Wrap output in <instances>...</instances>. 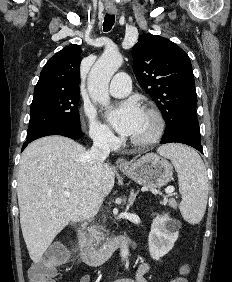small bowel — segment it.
Returning a JSON list of instances; mask_svg holds the SVG:
<instances>
[{"instance_id": "small-bowel-1", "label": "small bowel", "mask_w": 232, "mask_h": 282, "mask_svg": "<svg viewBox=\"0 0 232 282\" xmlns=\"http://www.w3.org/2000/svg\"><path fill=\"white\" fill-rule=\"evenodd\" d=\"M150 266L148 263L144 262L139 265L136 270L134 279H126L123 282H149L146 278V274L148 273ZM79 282H93L90 275H83Z\"/></svg>"}]
</instances>
